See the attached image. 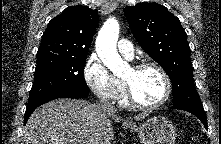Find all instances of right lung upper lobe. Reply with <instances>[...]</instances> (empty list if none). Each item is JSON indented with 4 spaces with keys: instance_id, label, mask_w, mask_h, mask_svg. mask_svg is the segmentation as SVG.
<instances>
[{
    "instance_id": "1",
    "label": "right lung upper lobe",
    "mask_w": 221,
    "mask_h": 144,
    "mask_svg": "<svg viewBox=\"0 0 221 144\" xmlns=\"http://www.w3.org/2000/svg\"><path fill=\"white\" fill-rule=\"evenodd\" d=\"M97 25V10L81 5L66 8L50 20L37 56H87Z\"/></svg>"
}]
</instances>
